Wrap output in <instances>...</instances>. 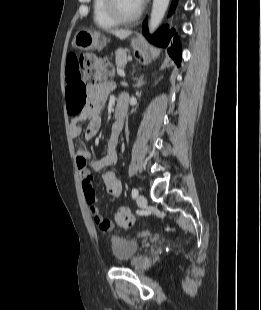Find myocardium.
Masks as SVG:
<instances>
[{"instance_id":"obj_1","label":"myocardium","mask_w":261,"mask_h":310,"mask_svg":"<svg viewBox=\"0 0 261 310\" xmlns=\"http://www.w3.org/2000/svg\"><path fill=\"white\" fill-rule=\"evenodd\" d=\"M103 1L106 13L118 24H127L134 22L138 20L142 14V7H140L135 14L131 16H125L119 11L116 0H103Z\"/></svg>"}]
</instances>
